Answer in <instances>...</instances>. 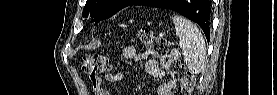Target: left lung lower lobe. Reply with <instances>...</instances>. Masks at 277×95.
I'll list each match as a JSON object with an SVG mask.
<instances>
[{
  "label": "left lung lower lobe",
  "mask_w": 277,
  "mask_h": 95,
  "mask_svg": "<svg viewBox=\"0 0 277 95\" xmlns=\"http://www.w3.org/2000/svg\"><path fill=\"white\" fill-rule=\"evenodd\" d=\"M159 0H136L132 5L158 7ZM166 9L176 11L198 23L207 40H210V9L209 0H177L175 4Z\"/></svg>",
  "instance_id": "0a47b994"
}]
</instances>
